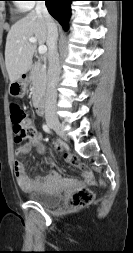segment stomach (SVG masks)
I'll return each mask as SVG.
<instances>
[{"label": "stomach", "mask_w": 133, "mask_h": 253, "mask_svg": "<svg viewBox=\"0 0 133 253\" xmlns=\"http://www.w3.org/2000/svg\"><path fill=\"white\" fill-rule=\"evenodd\" d=\"M27 88V79L26 78H19L17 81L13 82L9 86V93L12 96L22 97Z\"/></svg>", "instance_id": "1"}]
</instances>
